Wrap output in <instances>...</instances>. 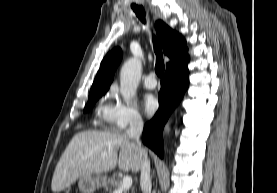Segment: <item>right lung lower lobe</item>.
<instances>
[{"instance_id": "98d812e1", "label": "right lung lower lobe", "mask_w": 277, "mask_h": 193, "mask_svg": "<svg viewBox=\"0 0 277 193\" xmlns=\"http://www.w3.org/2000/svg\"><path fill=\"white\" fill-rule=\"evenodd\" d=\"M188 53L166 68L158 94L159 109L153 119L144 126L142 140L159 157L164 155L162 132L165 122L182 99L189 85Z\"/></svg>"}]
</instances>
